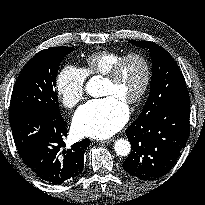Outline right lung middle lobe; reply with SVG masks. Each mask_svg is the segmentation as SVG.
<instances>
[{
	"label": "right lung middle lobe",
	"instance_id": "right-lung-middle-lobe-1",
	"mask_svg": "<svg viewBox=\"0 0 205 205\" xmlns=\"http://www.w3.org/2000/svg\"><path fill=\"white\" fill-rule=\"evenodd\" d=\"M73 47H53L38 52L23 68L12 91L10 112L33 111L50 118H62L55 91L63 58Z\"/></svg>",
	"mask_w": 205,
	"mask_h": 205
}]
</instances>
